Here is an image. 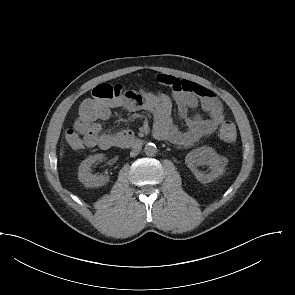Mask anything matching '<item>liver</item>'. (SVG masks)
Returning <instances> with one entry per match:
<instances>
[{
	"label": "liver",
	"mask_w": 295,
	"mask_h": 295,
	"mask_svg": "<svg viewBox=\"0 0 295 295\" xmlns=\"http://www.w3.org/2000/svg\"><path fill=\"white\" fill-rule=\"evenodd\" d=\"M60 155L62 156V155H63V153L61 152V153H60Z\"/></svg>",
	"instance_id": "obj_1"
}]
</instances>
